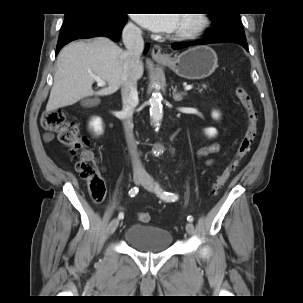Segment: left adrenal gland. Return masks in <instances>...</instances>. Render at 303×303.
<instances>
[{
    "label": "left adrenal gland",
    "instance_id": "1",
    "mask_svg": "<svg viewBox=\"0 0 303 303\" xmlns=\"http://www.w3.org/2000/svg\"><path fill=\"white\" fill-rule=\"evenodd\" d=\"M187 93L186 92H182V93H177V87H175L173 89V99L175 101H181L183 99L184 96H186Z\"/></svg>",
    "mask_w": 303,
    "mask_h": 303
}]
</instances>
